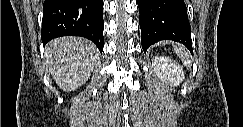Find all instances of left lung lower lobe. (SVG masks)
Returning <instances> with one entry per match:
<instances>
[{"mask_svg": "<svg viewBox=\"0 0 243 127\" xmlns=\"http://www.w3.org/2000/svg\"><path fill=\"white\" fill-rule=\"evenodd\" d=\"M141 44L146 51L161 40L185 45L192 53L191 26L184 0H138Z\"/></svg>", "mask_w": 243, "mask_h": 127, "instance_id": "1", "label": "left lung lower lobe"}]
</instances>
